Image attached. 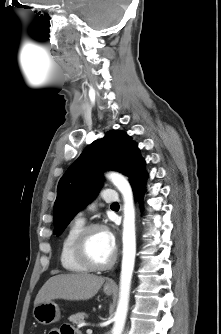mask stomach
I'll return each mask as SVG.
<instances>
[{
	"mask_svg": "<svg viewBox=\"0 0 221 334\" xmlns=\"http://www.w3.org/2000/svg\"><path fill=\"white\" fill-rule=\"evenodd\" d=\"M103 291L107 296L114 292L113 289L107 288L106 286ZM33 317L40 324L50 325L59 321L61 314L58 305L53 301H49L36 305L33 309Z\"/></svg>",
	"mask_w": 221,
	"mask_h": 334,
	"instance_id": "obj_1",
	"label": "stomach"
}]
</instances>
